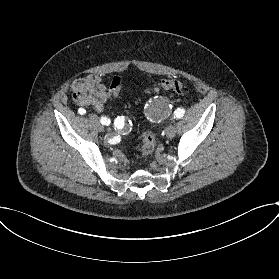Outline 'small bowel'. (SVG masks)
Listing matches in <instances>:
<instances>
[{
	"mask_svg": "<svg viewBox=\"0 0 279 279\" xmlns=\"http://www.w3.org/2000/svg\"><path fill=\"white\" fill-rule=\"evenodd\" d=\"M124 86L121 77L105 79L99 75H86L75 80L70 88L73 101L82 107L93 106L101 113L106 103L116 98Z\"/></svg>",
	"mask_w": 279,
	"mask_h": 279,
	"instance_id": "obj_1",
	"label": "small bowel"
}]
</instances>
